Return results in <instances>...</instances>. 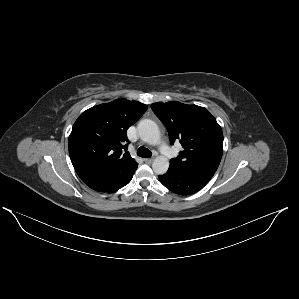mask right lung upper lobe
Returning a JSON list of instances; mask_svg holds the SVG:
<instances>
[{"mask_svg": "<svg viewBox=\"0 0 299 299\" xmlns=\"http://www.w3.org/2000/svg\"><path fill=\"white\" fill-rule=\"evenodd\" d=\"M147 108L137 101L116 99L94 106L78 117L68 148L74 169L84 183L137 167L127 151L126 131Z\"/></svg>", "mask_w": 299, "mask_h": 299, "instance_id": "cb5924a9", "label": "right lung upper lobe"}]
</instances>
